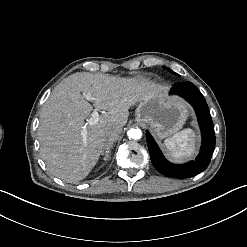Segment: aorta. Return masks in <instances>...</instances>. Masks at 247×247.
Segmentation results:
<instances>
[{"label": "aorta", "mask_w": 247, "mask_h": 247, "mask_svg": "<svg viewBox=\"0 0 247 247\" xmlns=\"http://www.w3.org/2000/svg\"><path fill=\"white\" fill-rule=\"evenodd\" d=\"M127 135L131 139H140L142 136V131L139 128H131L127 131Z\"/></svg>", "instance_id": "obj_1"}]
</instances>
